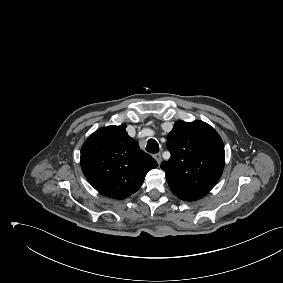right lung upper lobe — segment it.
Wrapping results in <instances>:
<instances>
[{"instance_id":"1","label":"right lung upper lobe","mask_w":283,"mask_h":283,"mask_svg":"<svg viewBox=\"0 0 283 283\" xmlns=\"http://www.w3.org/2000/svg\"><path fill=\"white\" fill-rule=\"evenodd\" d=\"M125 129L124 124L100 128L81 149L85 177L99 193L113 199H125L135 193L147 172L158 166Z\"/></svg>"}]
</instances>
